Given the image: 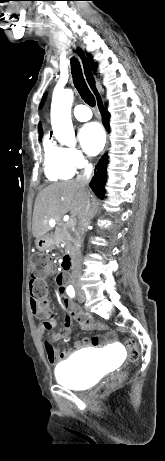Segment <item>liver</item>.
Returning a JSON list of instances; mask_svg holds the SVG:
<instances>
[{
    "instance_id": "6515ba94",
    "label": "liver",
    "mask_w": 165,
    "mask_h": 461,
    "mask_svg": "<svg viewBox=\"0 0 165 461\" xmlns=\"http://www.w3.org/2000/svg\"><path fill=\"white\" fill-rule=\"evenodd\" d=\"M85 191L77 182L70 180L44 188L37 196L32 219V233L38 239L50 231L51 220L59 222L70 212L79 218L84 208Z\"/></svg>"
}]
</instances>
